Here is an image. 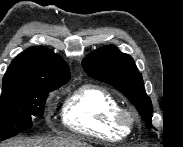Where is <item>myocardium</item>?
I'll return each instance as SVG.
<instances>
[{
	"instance_id": "myocardium-1",
	"label": "myocardium",
	"mask_w": 183,
	"mask_h": 147,
	"mask_svg": "<svg viewBox=\"0 0 183 147\" xmlns=\"http://www.w3.org/2000/svg\"><path fill=\"white\" fill-rule=\"evenodd\" d=\"M112 120L116 126L126 131H130L138 123L136 113L125 107H118L113 113Z\"/></svg>"
}]
</instances>
